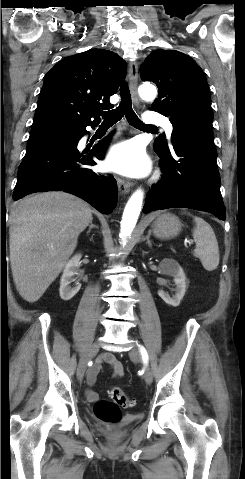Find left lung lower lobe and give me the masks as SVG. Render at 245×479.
<instances>
[{
  "instance_id": "1",
  "label": "left lung lower lobe",
  "mask_w": 245,
  "mask_h": 479,
  "mask_svg": "<svg viewBox=\"0 0 245 479\" xmlns=\"http://www.w3.org/2000/svg\"><path fill=\"white\" fill-rule=\"evenodd\" d=\"M170 149L154 148L160 157L162 181L148 191L143 212L190 208L212 213L224 220L220 175L213 138L192 134L172 139Z\"/></svg>"
}]
</instances>
